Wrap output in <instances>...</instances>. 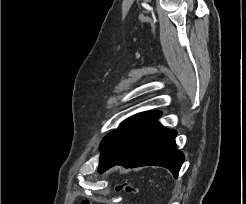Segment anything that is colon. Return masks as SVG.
Wrapping results in <instances>:
<instances>
[{"label": "colon", "mask_w": 246, "mask_h": 204, "mask_svg": "<svg viewBox=\"0 0 246 204\" xmlns=\"http://www.w3.org/2000/svg\"><path fill=\"white\" fill-rule=\"evenodd\" d=\"M118 190H124L128 193H135L137 192V188L135 187V185L129 181H123L120 182L117 187ZM81 204H91L89 199H84Z\"/></svg>", "instance_id": "colon-1"}]
</instances>
